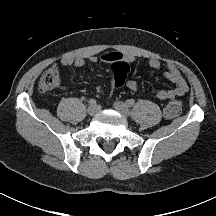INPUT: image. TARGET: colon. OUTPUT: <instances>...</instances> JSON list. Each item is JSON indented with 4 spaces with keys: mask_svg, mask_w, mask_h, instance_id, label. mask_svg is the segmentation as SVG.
Returning <instances> with one entry per match:
<instances>
[{
    "mask_svg": "<svg viewBox=\"0 0 216 216\" xmlns=\"http://www.w3.org/2000/svg\"><path fill=\"white\" fill-rule=\"evenodd\" d=\"M129 71L128 64L121 63L118 64L115 68V73L112 77L111 85L113 88H117L122 86L127 77V73ZM60 82L59 71L55 68H49L39 79L38 89L41 92H49L54 90ZM182 110V102L177 99H171L165 109L164 114L168 118L176 117L180 114Z\"/></svg>",
    "mask_w": 216,
    "mask_h": 216,
    "instance_id": "obj_1",
    "label": "colon"
}]
</instances>
